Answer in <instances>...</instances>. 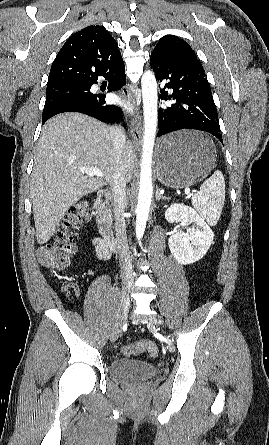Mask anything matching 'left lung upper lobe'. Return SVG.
Segmentation results:
<instances>
[{"label":"left lung upper lobe","mask_w":269,"mask_h":445,"mask_svg":"<svg viewBox=\"0 0 269 445\" xmlns=\"http://www.w3.org/2000/svg\"><path fill=\"white\" fill-rule=\"evenodd\" d=\"M152 55L168 60H198L190 45L175 35H165L156 44Z\"/></svg>","instance_id":"1"}]
</instances>
